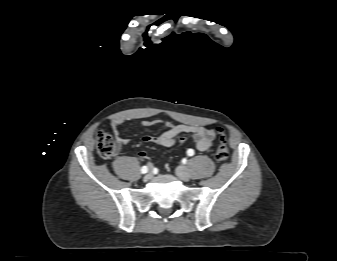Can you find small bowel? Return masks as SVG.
<instances>
[{
    "mask_svg": "<svg viewBox=\"0 0 337 261\" xmlns=\"http://www.w3.org/2000/svg\"><path fill=\"white\" fill-rule=\"evenodd\" d=\"M156 123H162L167 129L158 136L153 135H143L141 140L144 143H154L162 147H172L176 144H184L186 138L182 136L183 134H190L193 138L194 147L199 151H205L211 148L215 140V131L209 129L202 125H189V124H178L175 125L170 121H151L143 120L140 122L142 127H150ZM122 124V121L115 119L111 121V127L116 138V142L119 147L127 145L129 139L121 136L119 131V126ZM138 156L141 159H146L147 154L145 151H140Z\"/></svg>",
    "mask_w": 337,
    "mask_h": 261,
    "instance_id": "obj_1",
    "label": "small bowel"
}]
</instances>
